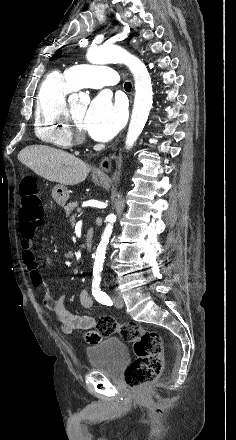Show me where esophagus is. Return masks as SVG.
<instances>
[{
  "label": "esophagus",
  "instance_id": "obj_1",
  "mask_svg": "<svg viewBox=\"0 0 236 440\" xmlns=\"http://www.w3.org/2000/svg\"><path fill=\"white\" fill-rule=\"evenodd\" d=\"M111 170V159L109 157H104L100 163L98 168L94 170L96 175L104 176Z\"/></svg>",
  "mask_w": 236,
  "mask_h": 440
}]
</instances>
